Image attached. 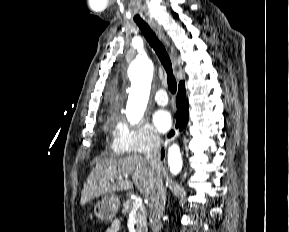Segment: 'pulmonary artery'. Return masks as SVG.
I'll return each instance as SVG.
<instances>
[{
	"label": "pulmonary artery",
	"instance_id": "obj_1",
	"mask_svg": "<svg viewBox=\"0 0 289 232\" xmlns=\"http://www.w3.org/2000/svg\"><path fill=\"white\" fill-rule=\"evenodd\" d=\"M154 100L159 105H166L168 103L167 93L164 89L158 90L154 95Z\"/></svg>",
	"mask_w": 289,
	"mask_h": 232
}]
</instances>
